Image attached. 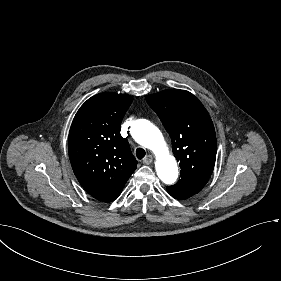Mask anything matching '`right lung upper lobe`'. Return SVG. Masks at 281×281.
Instances as JSON below:
<instances>
[{
    "instance_id": "obj_1",
    "label": "right lung upper lobe",
    "mask_w": 281,
    "mask_h": 281,
    "mask_svg": "<svg viewBox=\"0 0 281 281\" xmlns=\"http://www.w3.org/2000/svg\"><path fill=\"white\" fill-rule=\"evenodd\" d=\"M132 97L104 92L87 100L69 133V158L83 188L97 200L109 201L137 168L120 124Z\"/></svg>"
}]
</instances>
